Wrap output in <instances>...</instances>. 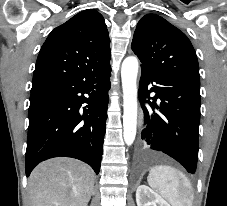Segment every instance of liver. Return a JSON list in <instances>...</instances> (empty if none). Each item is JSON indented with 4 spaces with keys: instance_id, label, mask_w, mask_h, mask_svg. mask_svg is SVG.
Returning a JSON list of instances; mask_svg holds the SVG:
<instances>
[{
    "instance_id": "obj_1",
    "label": "liver",
    "mask_w": 227,
    "mask_h": 206,
    "mask_svg": "<svg viewBox=\"0 0 227 206\" xmlns=\"http://www.w3.org/2000/svg\"><path fill=\"white\" fill-rule=\"evenodd\" d=\"M94 173L85 163L55 158L40 163L28 180L30 206H87Z\"/></svg>"
}]
</instances>
